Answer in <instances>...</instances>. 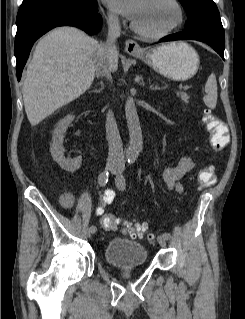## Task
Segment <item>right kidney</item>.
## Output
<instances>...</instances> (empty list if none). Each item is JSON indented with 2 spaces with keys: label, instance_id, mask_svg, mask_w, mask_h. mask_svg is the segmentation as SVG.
<instances>
[{
  "label": "right kidney",
  "instance_id": "ca27d5eb",
  "mask_svg": "<svg viewBox=\"0 0 245 319\" xmlns=\"http://www.w3.org/2000/svg\"><path fill=\"white\" fill-rule=\"evenodd\" d=\"M74 118L73 115H67L58 123L53 133L52 145L50 148L53 160L56 161L62 169L72 173L80 168L82 157L79 156L74 159H66L64 157L63 139L68 126L72 123Z\"/></svg>",
  "mask_w": 245,
  "mask_h": 319
}]
</instances>
